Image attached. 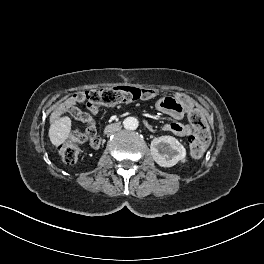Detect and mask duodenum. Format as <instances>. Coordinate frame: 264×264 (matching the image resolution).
<instances>
[{
  "label": "duodenum",
  "instance_id": "duodenum-1",
  "mask_svg": "<svg viewBox=\"0 0 264 264\" xmlns=\"http://www.w3.org/2000/svg\"><path fill=\"white\" fill-rule=\"evenodd\" d=\"M116 127V124H110L106 127L105 132H110L112 129H114Z\"/></svg>",
  "mask_w": 264,
  "mask_h": 264
}]
</instances>
